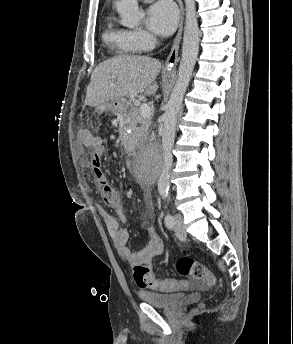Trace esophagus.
Returning a JSON list of instances; mask_svg holds the SVG:
<instances>
[{
    "instance_id": "1",
    "label": "esophagus",
    "mask_w": 293,
    "mask_h": 344,
    "mask_svg": "<svg viewBox=\"0 0 293 344\" xmlns=\"http://www.w3.org/2000/svg\"><path fill=\"white\" fill-rule=\"evenodd\" d=\"M177 2L179 6V13H180L179 28H178L176 37L174 39V42L172 44L170 54L167 57L166 62H165L166 68L175 66L179 60V57H178L179 45H180V41L182 38V31H183V3H182V0H177Z\"/></svg>"
}]
</instances>
